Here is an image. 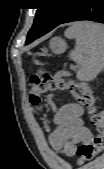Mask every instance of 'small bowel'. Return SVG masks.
<instances>
[{"label": "small bowel", "instance_id": "c3829d8e", "mask_svg": "<svg viewBox=\"0 0 104 169\" xmlns=\"http://www.w3.org/2000/svg\"><path fill=\"white\" fill-rule=\"evenodd\" d=\"M83 107L77 103L62 106L54 117L55 130L50 134L51 146L67 156H73L77 144L89 143L92 132L83 119Z\"/></svg>", "mask_w": 104, "mask_h": 169}]
</instances>
